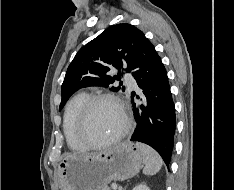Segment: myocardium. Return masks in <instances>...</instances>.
<instances>
[{"instance_id":"obj_1","label":"myocardium","mask_w":234,"mask_h":190,"mask_svg":"<svg viewBox=\"0 0 234 190\" xmlns=\"http://www.w3.org/2000/svg\"><path fill=\"white\" fill-rule=\"evenodd\" d=\"M101 101H109L114 103L121 111L124 124L121 130L111 137L110 139L103 142H94L87 134V124L91 109L93 106ZM132 126V121L129 112L125 104L116 96L112 94L102 93L89 96L84 102L77 121V135L78 138L88 147V148H104L115 144L121 140L130 130Z\"/></svg>"}]
</instances>
